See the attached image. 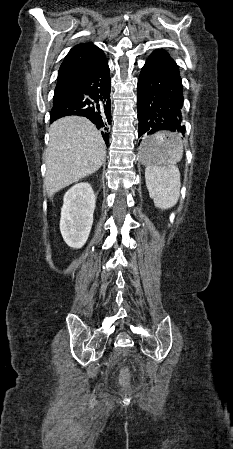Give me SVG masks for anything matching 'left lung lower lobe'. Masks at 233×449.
Returning <instances> with one entry per match:
<instances>
[{"label":"left lung lower lobe","instance_id":"0a47b994","mask_svg":"<svg viewBox=\"0 0 233 449\" xmlns=\"http://www.w3.org/2000/svg\"><path fill=\"white\" fill-rule=\"evenodd\" d=\"M183 101L178 65L164 50H155L146 60L138 80V134L142 146L165 148L177 141L167 131L185 133Z\"/></svg>","mask_w":233,"mask_h":449}]
</instances>
